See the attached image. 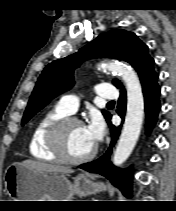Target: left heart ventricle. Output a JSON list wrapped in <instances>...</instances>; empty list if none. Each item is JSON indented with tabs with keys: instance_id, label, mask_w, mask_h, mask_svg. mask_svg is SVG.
I'll return each mask as SVG.
<instances>
[{
	"instance_id": "1",
	"label": "left heart ventricle",
	"mask_w": 176,
	"mask_h": 211,
	"mask_svg": "<svg viewBox=\"0 0 176 211\" xmlns=\"http://www.w3.org/2000/svg\"><path fill=\"white\" fill-rule=\"evenodd\" d=\"M64 143L66 151L73 157L83 156L94 147L87 136L85 126L80 124H72L66 128Z\"/></svg>"
}]
</instances>
